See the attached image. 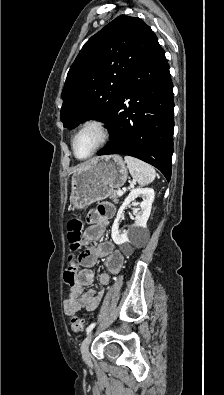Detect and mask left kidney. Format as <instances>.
I'll return each instance as SVG.
<instances>
[{
    "mask_svg": "<svg viewBox=\"0 0 224 395\" xmlns=\"http://www.w3.org/2000/svg\"><path fill=\"white\" fill-rule=\"evenodd\" d=\"M140 196L143 198V201L140 204L141 211L138 212V210L133 209V213L136 215L134 224L128 230L120 232L119 221L122 217L124 209L128 204H130V202L134 201ZM154 196L155 193L152 188H136L129 193L124 203L120 207L112 226L111 237L117 245H122L125 242H128L129 238H139L143 234L150 216Z\"/></svg>",
    "mask_w": 224,
    "mask_h": 395,
    "instance_id": "1",
    "label": "left kidney"
}]
</instances>
